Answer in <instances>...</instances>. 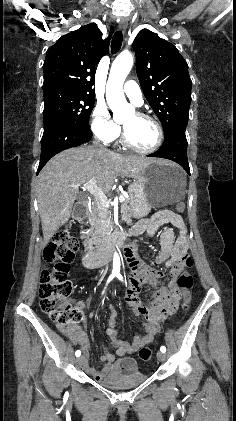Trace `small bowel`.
<instances>
[{"mask_svg":"<svg viewBox=\"0 0 236 421\" xmlns=\"http://www.w3.org/2000/svg\"><path fill=\"white\" fill-rule=\"evenodd\" d=\"M164 224H170L172 227L177 228L180 232V239L173 251L176 260H179L187 252V244L185 241L186 228H185L184 221L180 215L169 210L160 211L154 214L151 218H147V219H143L139 221L134 226L133 233L141 234L143 232H146L148 233V235L153 236L158 230V228ZM172 238H173V229L167 228L163 235L164 251L169 250V243L171 242ZM138 291H139V286H138V283H136L126 296L127 302L134 310H135V307L140 306L139 299L137 296ZM76 305L77 307L81 309L84 307V303L82 301H78ZM116 318H117L116 311L112 308L110 316H109V325H110V329L114 331H116L115 330L116 323H117ZM155 329L157 330L156 326H155ZM62 331L70 339L72 336L78 337L80 339L79 343H81L85 347L87 346V343H88L87 334L81 329V327L74 326L67 329H63ZM152 337L153 335L148 336L145 340H143V342L151 341Z\"/></svg>","mask_w":236,"mask_h":421,"instance_id":"small-bowel-1","label":"small bowel"}]
</instances>
